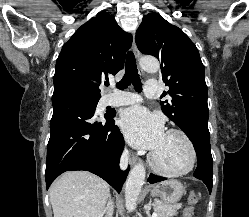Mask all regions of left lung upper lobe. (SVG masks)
<instances>
[{
  "label": "left lung upper lobe",
  "instance_id": "5c2ea615",
  "mask_svg": "<svg viewBox=\"0 0 249 217\" xmlns=\"http://www.w3.org/2000/svg\"><path fill=\"white\" fill-rule=\"evenodd\" d=\"M143 54L155 56L161 62L163 81L169 86L171 99L161 101L163 113L190 138L193 127L208 122V90L204 65L189 37L157 13L143 17L136 36Z\"/></svg>",
  "mask_w": 249,
  "mask_h": 217
}]
</instances>
